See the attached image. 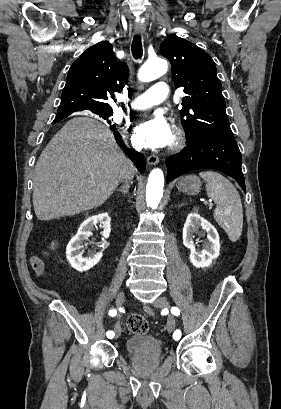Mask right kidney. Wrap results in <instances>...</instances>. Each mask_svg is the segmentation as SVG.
Listing matches in <instances>:
<instances>
[{
    "mask_svg": "<svg viewBox=\"0 0 281 409\" xmlns=\"http://www.w3.org/2000/svg\"><path fill=\"white\" fill-rule=\"evenodd\" d=\"M110 217L108 213H101V215H93V217H88L83 221L82 225H80L75 237H72L71 241H69L66 249H69L71 255V267L76 269V271H89L92 269L94 265L99 263L102 253H88L87 257H82L81 249L83 245H85V241H87L88 237L92 235L91 231L94 229V225L97 223H101L104 227V231L102 233L104 239H109L111 233V225H110Z\"/></svg>",
    "mask_w": 281,
    "mask_h": 409,
    "instance_id": "1",
    "label": "right kidney"
}]
</instances>
